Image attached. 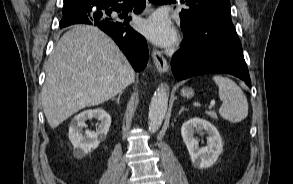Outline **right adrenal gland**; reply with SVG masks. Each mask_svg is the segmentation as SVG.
<instances>
[{
  "label": "right adrenal gland",
  "mask_w": 293,
  "mask_h": 184,
  "mask_svg": "<svg viewBox=\"0 0 293 184\" xmlns=\"http://www.w3.org/2000/svg\"><path fill=\"white\" fill-rule=\"evenodd\" d=\"M121 95H122V93H120V94L118 95V97L115 98L117 104H120V97H121ZM112 100H114V99H112Z\"/></svg>",
  "instance_id": "2a0ac1e0"
}]
</instances>
